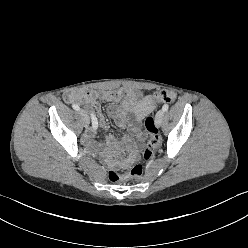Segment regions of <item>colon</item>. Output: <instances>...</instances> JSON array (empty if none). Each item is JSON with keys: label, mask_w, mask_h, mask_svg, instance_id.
I'll list each match as a JSON object with an SVG mask.
<instances>
[{"label": "colon", "mask_w": 248, "mask_h": 248, "mask_svg": "<svg viewBox=\"0 0 248 248\" xmlns=\"http://www.w3.org/2000/svg\"><path fill=\"white\" fill-rule=\"evenodd\" d=\"M153 100L155 102H168L173 103L176 100V94L171 90H160L154 93ZM145 128L149 134V139L142 151L144 159L148 160L153 156L154 150L160 143V136L158 132V126L153 117H147L145 119ZM143 168L140 164L134 165L127 173L120 174L116 171H109L108 178L112 182H118L122 180H133L141 177Z\"/></svg>", "instance_id": "1"}]
</instances>
